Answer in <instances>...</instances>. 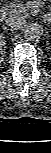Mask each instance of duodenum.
<instances>
[{"label":"duodenum","instance_id":"duodenum-1","mask_svg":"<svg viewBox=\"0 0 51 153\" xmlns=\"http://www.w3.org/2000/svg\"><path fill=\"white\" fill-rule=\"evenodd\" d=\"M6 16V13L4 10L0 11V19L3 20Z\"/></svg>","mask_w":51,"mask_h":153}]
</instances>
